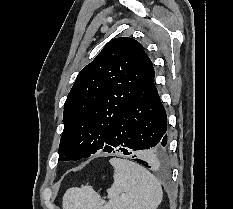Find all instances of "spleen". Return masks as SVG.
I'll use <instances>...</instances> for the list:
<instances>
[{
	"instance_id": "spleen-1",
	"label": "spleen",
	"mask_w": 233,
	"mask_h": 209,
	"mask_svg": "<svg viewBox=\"0 0 233 209\" xmlns=\"http://www.w3.org/2000/svg\"><path fill=\"white\" fill-rule=\"evenodd\" d=\"M114 182L107 190L108 202L91 186L73 187L63 196V209H156L163 192L157 178L143 166L120 158L110 159Z\"/></svg>"
}]
</instances>
